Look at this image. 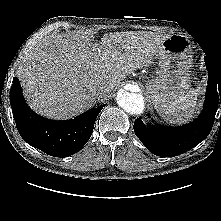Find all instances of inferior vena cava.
I'll use <instances>...</instances> for the list:
<instances>
[{
    "label": "inferior vena cava",
    "instance_id": "inferior-vena-cava-1",
    "mask_svg": "<svg viewBox=\"0 0 221 221\" xmlns=\"http://www.w3.org/2000/svg\"><path fill=\"white\" fill-rule=\"evenodd\" d=\"M108 92V88L105 85H98L94 88V95L96 97H101Z\"/></svg>",
    "mask_w": 221,
    "mask_h": 221
}]
</instances>
